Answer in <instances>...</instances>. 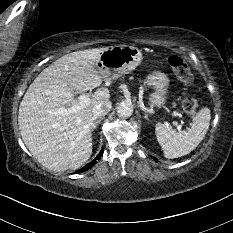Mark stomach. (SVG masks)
<instances>
[{
    "mask_svg": "<svg viewBox=\"0 0 233 233\" xmlns=\"http://www.w3.org/2000/svg\"><path fill=\"white\" fill-rule=\"evenodd\" d=\"M142 52L132 45H117L106 47L100 53L96 69L105 80H114L134 70L141 64ZM146 84L153 86L155 92L150 95L152 106L161 107L166 101V93L169 86L167 74L154 71L146 78Z\"/></svg>",
    "mask_w": 233,
    "mask_h": 233,
    "instance_id": "1",
    "label": "stomach"
}]
</instances>
